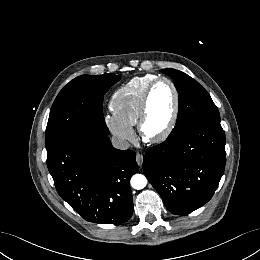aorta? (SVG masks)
Returning a JSON list of instances; mask_svg holds the SVG:
<instances>
[{
  "label": "aorta",
  "instance_id": "762f6f07",
  "mask_svg": "<svg viewBox=\"0 0 260 260\" xmlns=\"http://www.w3.org/2000/svg\"><path fill=\"white\" fill-rule=\"evenodd\" d=\"M130 183L134 189L140 190L147 185V179L142 174H135L132 176Z\"/></svg>",
  "mask_w": 260,
  "mask_h": 260
}]
</instances>
